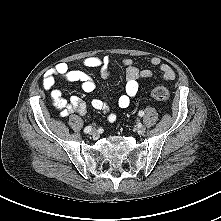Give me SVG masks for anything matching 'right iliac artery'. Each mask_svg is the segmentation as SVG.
Returning a JSON list of instances; mask_svg holds the SVG:
<instances>
[{"mask_svg": "<svg viewBox=\"0 0 221 221\" xmlns=\"http://www.w3.org/2000/svg\"><path fill=\"white\" fill-rule=\"evenodd\" d=\"M91 131V126H87L85 129H84V132L85 133H89Z\"/></svg>", "mask_w": 221, "mask_h": 221, "instance_id": "right-iliac-artery-1", "label": "right iliac artery"}]
</instances>
